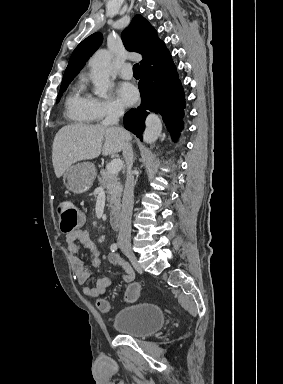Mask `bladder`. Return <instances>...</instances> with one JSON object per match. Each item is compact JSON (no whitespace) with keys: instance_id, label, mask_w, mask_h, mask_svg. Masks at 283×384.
I'll list each match as a JSON object with an SVG mask.
<instances>
[{"instance_id":"1","label":"bladder","mask_w":283,"mask_h":384,"mask_svg":"<svg viewBox=\"0 0 283 384\" xmlns=\"http://www.w3.org/2000/svg\"><path fill=\"white\" fill-rule=\"evenodd\" d=\"M166 321L164 309L152 302L132 303L120 307L112 320L119 334L143 338L161 329Z\"/></svg>"}]
</instances>
